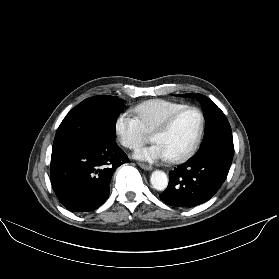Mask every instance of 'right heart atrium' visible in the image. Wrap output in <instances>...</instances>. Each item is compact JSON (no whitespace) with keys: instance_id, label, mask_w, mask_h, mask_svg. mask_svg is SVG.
Returning <instances> with one entry per match:
<instances>
[{"instance_id":"right-heart-atrium-1","label":"right heart atrium","mask_w":279,"mask_h":279,"mask_svg":"<svg viewBox=\"0 0 279 279\" xmlns=\"http://www.w3.org/2000/svg\"><path fill=\"white\" fill-rule=\"evenodd\" d=\"M114 129L119 142L131 150L137 149L148 137L138 117L130 111L119 114Z\"/></svg>"}]
</instances>
